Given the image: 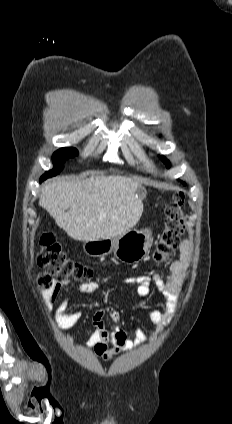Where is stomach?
Returning <instances> with one entry per match:
<instances>
[{
    "mask_svg": "<svg viewBox=\"0 0 232 424\" xmlns=\"http://www.w3.org/2000/svg\"><path fill=\"white\" fill-rule=\"evenodd\" d=\"M140 192H144V189H140ZM152 241L150 230L130 229L115 238L86 241L83 250L92 257H102L114 252L119 260L136 263L145 257Z\"/></svg>",
    "mask_w": 232,
    "mask_h": 424,
    "instance_id": "stomach-1",
    "label": "stomach"
}]
</instances>
